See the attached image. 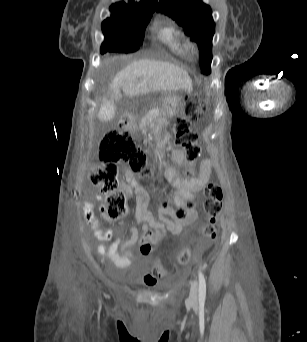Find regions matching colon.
I'll return each instance as SVG.
<instances>
[{
    "instance_id": "obj_1",
    "label": "colon",
    "mask_w": 307,
    "mask_h": 342,
    "mask_svg": "<svg viewBox=\"0 0 307 342\" xmlns=\"http://www.w3.org/2000/svg\"><path fill=\"white\" fill-rule=\"evenodd\" d=\"M205 108L193 98H187L183 105V115L174 124L173 131L175 145L184 153L187 164L194 165L201 157V147L197 144L196 135L192 125L198 120L201 111ZM100 165H94L90 169L91 183L100 189L104 198L102 207L104 216L111 220H119L127 213V202L124 194L119 190L118 166H123L143 177H148L149 169L147 158L139 142L126 131L115 130L108 132L98 147L97 151ZM193 174V172H191ZM205 199L203 208L207 215V221L203 224V234L209 239H216L218 234V216L222 209L223 192L217 183H208L204 188ZM163 207L168 208L169 202H163ZM186 209H180L179 215L184 217ZM154 230H145L139 242L141 255L150 256L151 243L161 241L163 238ZM177 260L180 264L189 266L190 253L183 250ZM166 269L161 264L156 265L154 271L143 277V283L147 286H155L165 275Z\"/></svg>"
}]
</instances>
